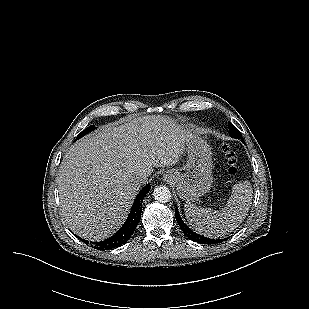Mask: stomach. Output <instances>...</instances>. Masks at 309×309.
<instances>
[{
	"label": "stomach",
	"mask_w": 309,
	"mask_h": 309,
	"mask_svg": "<svg viewBox=\"0 0 309 309\" xmlns=\"http://www.w3.org/2000/svg\"><path fill=\"white\" fill-rule=\"evenodd\" d=\"M186 146V164L180 169L168 170L164 179L175 185L180 198L190 203L211 188L212 152L206 140L198 134H188Z\"/></svg>",
	"instance_id": "stomach-1"
}]
</instances>
